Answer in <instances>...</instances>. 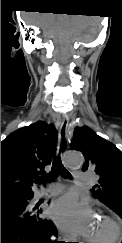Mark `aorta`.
I'll return each mask as SVG.
<instances>
[{"label": "aorta", "mask_w": 122, "mask_h": 243, "mask_svg": "<svg viewBox=\"0 0 122 243\" xmlns=\"http://www.w3.org/2000/svg\"><path fill=\"white\" fill-rule=\"evenodd\" d=\"M65 162L68 167H79L83 162V157L79 152L71 151L66 155Z\"/></svg>", "instance_id": "1"}]
</instances>
